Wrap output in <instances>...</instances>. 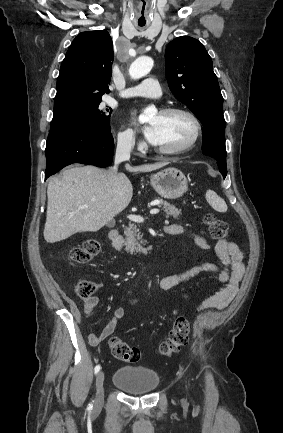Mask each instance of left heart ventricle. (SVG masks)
Instances as JSON below:
<instances>
[{"label": "left heart ventricle", "instance_id": "b2bd125f", "mask_svg": "<svg viewBox=\"0 0 283 433\" xmlns=\"http://www.w3.org/2000/svg\"><path fill=\"white\" fill-rule=\"evenodd\" d=\"M152 124L159 130L158 150H176L190 141L194 134V123L184 114H157Z\"/></svg>", "mask_w": 283, "mask_h": 433}]
</instances>
